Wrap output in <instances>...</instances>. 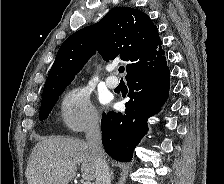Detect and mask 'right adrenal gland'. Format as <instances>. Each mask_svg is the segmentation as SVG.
Returning <instances> with one entry per match:
<instances>
[{
    "instance_id": "2a0ac1e0",
    "label": "right adrenal gland",
    "mask_w": 224,
    "mask_h": 184,
    "mask_svg": "<svg viewBox=\"0 0 224 184\" xmlns=\"http://www.w3.org/2000/svg\"><path fill=\"white\" fill-rule=\"evenodd\" d=\"M111 177H112V179L114 178V177H113V172H111Z\"/></svg>"
}]
</instances>
